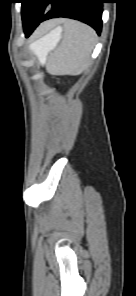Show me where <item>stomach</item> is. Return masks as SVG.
<instances>
[{"label": "stomach", "instance_id": "0dacf381", "mask_svg": "<svg viewBox=\"0 0 136 296\" xmlns=\"http://www.w3.org/2000/svg\"><path fill=\"white\" fill-rule=\"evenodd\" d=\"M51 32L48 33L47 35L43 36L39 40L35 41L34 43H32L30 45V49L32 50V47H39L40 46L43 49L44 55L47 56L50 49H52L55 46V44L57 43L55 41L56 37L55 36L52 37Z\"/></svg>", "mask_w": 136, "mask_h": 296}]
</instances>
